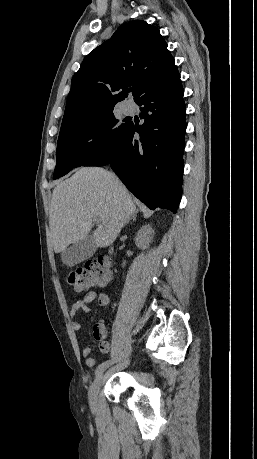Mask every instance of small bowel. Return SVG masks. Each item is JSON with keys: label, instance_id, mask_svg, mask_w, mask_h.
<instances>
[{"label": "small bowel", "instance_id": "obj_1", "mask_svg": "<svg viewBox=\"0 0 257 459\" xmlns=\"http://www.w3.org/2000/svg\"><path fill=\"white\" fill-rule=\"evenodd\" d=\"M95 300H97L99 306L102 309H107L110 305V298L107 294L97 292L95 290H89L85 293L82 299L76 300L73 303L70 309V316L75 317L79 313L89 312V305ZM72 328L76 332L80 331L82 329L81 322L73 321ZM107 336L108 334L105 324L101 321L96 322L93 326V337L98 342L99 348L103 353H108L110 351V345ZM82 356L85 359L86 366L89 368H94L95 358L92 355V348L90 345H87L82 349Z\"/></svg>", "mask_w": 257, "mask_h": 459}]
</instances>
